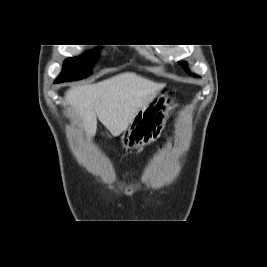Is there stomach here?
I'll list each match as a JSON object with an SVG mask.
<instances>
[{"label":"stomach","mask_w":267,"mask_h":267,"mask_svg":"<svg viewBox=\"0 0 267 267\" xmlns=\"http://www.w3.org/2000/svg\"><path fill=\"white\" fill-rule=\"evenodd\" d=\"M172 102L168 95L158 94L141 109L121 136L123 146L127 149L138 148L158 139L172 113Z\"/></svg>","instance_id":"stomach-1"}]
</instances>
